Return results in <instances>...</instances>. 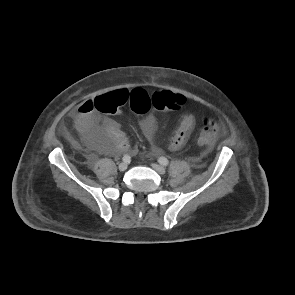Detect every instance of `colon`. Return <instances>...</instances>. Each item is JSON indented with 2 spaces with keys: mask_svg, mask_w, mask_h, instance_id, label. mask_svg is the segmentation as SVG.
I'll use <instances>...</instances> for the list:
<instances>
[{
  "mask_svg": "<svg viewBox=\"0 0 295 295\" xmlns=\"http://www.w3.org/2000/svg\"><path fill=\"white\" fill-rule=\"evenodd\" d=\"M186 99L180 94L161 92L150 96L143 90H116L100 95L93 100V107L102 113H116L128 106L137 114H146L152 108L161 111L178 110L184 107ZM220 129V121L209 118L201 127L198 136L200 145L208 147L215 141Z\"/></svg>",
  "mask_w": 295,
  "mask_h": 295,
  "instance_id": "5ec220e1",
  "label": "colon"
}]
</instances>
